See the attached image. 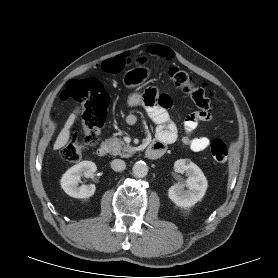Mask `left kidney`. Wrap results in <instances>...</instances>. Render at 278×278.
Returning <instances> with one entry per match:
<instances>
[{
    "mask_svg": "<svg viewBox=\"0 0 278 278\" xmlns=\"http://www.w3.org/2000/svg\"><path fill=\"white\" fill-rule=\"evenodd\" d=\"M174 167L176 172L186 173L188 176V190H184L180 184H175L168 189V196L178 207L190 208L204 197L208 187L207 179L196 164L186 159L177 160Z\"/></svg>",
    "mask_w": 278,
    "mask_h": 278,
    "instance_id": "5707ae66",
    "label": "left kidney"
}]
</instances>
